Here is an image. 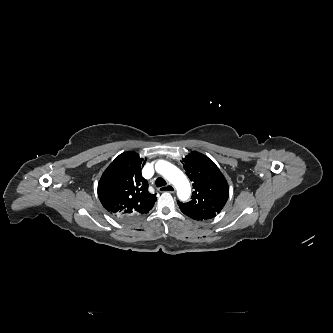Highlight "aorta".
I'll use <instances>...</instances> for the list:
<instances>
[{
    "label": "aorta",
    "instance_id": "1",
    "mask_svg": "<svg viewBox=\"0 0 333 333\" xmlns=\"http://www.w3.org/2000/svg\"><path fill=\"white\" fill-rule=\"evenodd\" d=\"M155 168L157 172L162 174L165 179L175 186L180 200L185 201L190 197V183L180 169L166 161H158Z\"/></svg>",
    "mask_w": 333,
    "mask_h": 333
}]
</instances>
